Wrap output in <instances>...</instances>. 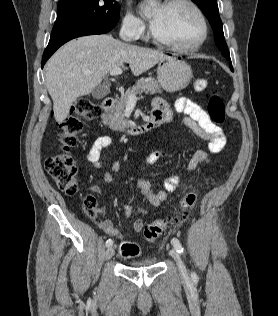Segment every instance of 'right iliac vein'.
Returning <instances> with one entry per match:
<instances>
[{
	"instance_id": "obj_1",
	"label": "right iliac vein",
	"mask_w": 278,
	"mask_h": 316,
	"mask_svg": "<svg viewBox=\"0 0 278 316\" xmlns=\"http://www.w3.org/2000/svg\"><path fill=\"white\" fill-rule=\"evenodd\" d=\"M114 255V248L113 247H108L106 252H105V257L106 259H111Z\"/></svg>"
}]
</instances>
